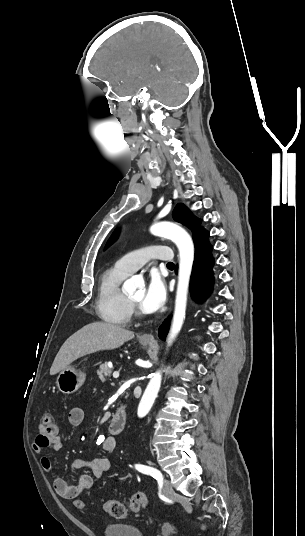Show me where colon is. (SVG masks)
Returning a JSON list of instances; mask_svg holds the SVG:
<instances>
[{"label":"colon","instance_id":"5ec220e1","mask_svg":"<svg viewBox=\"0 0 305 536\" xmlns=\"http://www.w3.org/2000/svg\"><path fill=\"white\" fill-rule=\"evenodd\" d=\"M42 423L43 426H52V415L50 413H45L42 417ZM70 503L72 506L77 507L78 511L81 513L87 511V504L81 502L80 498L77 496L72 497ZM147 508L148 500L143 492H135L132 495L129 507L125 506L121 501L117 499H108L103 503V510L115 519H123L127 517L130 512L143 511Z\"/></svg>","mask_w":305,"mask_h":536}]
</instances>
